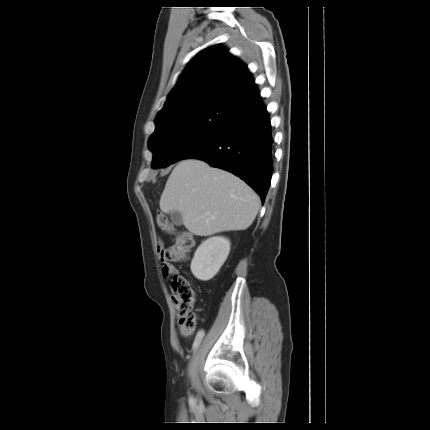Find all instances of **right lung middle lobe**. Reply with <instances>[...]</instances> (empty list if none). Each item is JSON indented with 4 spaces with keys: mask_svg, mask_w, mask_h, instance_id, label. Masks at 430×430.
Returning a JSON list of instances; mask_svg holds the SVG:
<instances>
[{
    "mask_svg": "<svg viewBox=\"0 0 430 430\" xmlns=\"http://www.w3.org/2000/svg\"><path fill=\"white\" fill-rule=\"evenodd\" d=\"M235 112L224 100H206L155 121L149 139L151 167H166L185 159L225 130Z\"/></svg>",
    "mask_w": 430,
    "mask_h": 430,
    "instance_id": "dd1d6c3e",
    "label": "right lung middle lobe"
}]
</instances>
